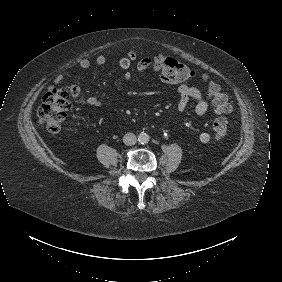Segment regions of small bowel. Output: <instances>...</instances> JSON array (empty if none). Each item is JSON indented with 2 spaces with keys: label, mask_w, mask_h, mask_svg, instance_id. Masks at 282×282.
I'll use <instances>...</instances> for the list:
<instances>
[{
  "label": "small bowel",
  "mask_w": 282,
  "mask_h": 282,
  "mask_svg": "<svg viewBox=\"0 0 282 282\" xmlns=\"http://www.w3.org/2000/svg\"><path fill=\"white\" fill-rule=\"evenodd\" d=\"M95 63L99 66L104 65L106 63V57L104 55L97 56ZM134 63H136L137 70L140 74L151 76L165 84L173 85L177 88L179 93L177 108L180 112H185L187 110L191 100L195 101L194 111L197 115H204L209 110L210 103L199 89L159 72L150 73L149 69L153 65V59L151 57L138 59V56L135 52H128L124 57H122L119 60L118 65L123 71V79L125 81H130L132 79L130 68ZM90 65L91 63L88 59H82L78 64V68L80 70H87ZM69 74V71H63L57 74L53 80L54 83L59 84L67 76H69ZM86 103L90 106H98L100 105V100L97 97L91 96L87 99ZM210 139V134L206 131H203L199 134V141L203 144L209 143Z\"/></svg>",
  "instance_id": "obj_1"
}]
</instances>
